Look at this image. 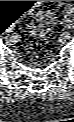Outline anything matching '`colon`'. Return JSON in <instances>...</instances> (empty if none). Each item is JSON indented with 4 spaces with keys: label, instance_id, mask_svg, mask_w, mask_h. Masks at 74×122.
I'll return each mask as SVG.
<instances>
[{
    "label": "colon",
    "instance_id": "obj_1",
    "mask_svg": "<svg viewBox=\"0 0 74 122\" xmlns=\"http://www.w3.org/2000/svg\"><path fill=\"white\" fill-rule=\"evenodd\" d=\"M50 4V3H49ZM47 11L42 12L40 16L35 17L34 23L31 25L32 33L36 37V42L33 49L41 47V44L46 40L49 35L50 26L46 21L47 15L51 12L53 7L50 5Z\"/></svg>",
    "mask_w": 74,
    "mask_h": 122
}]
</instances>
